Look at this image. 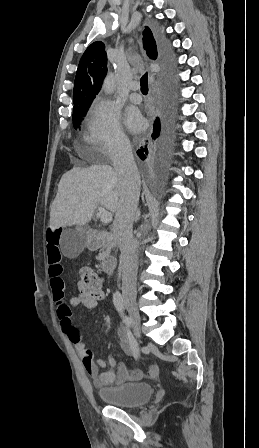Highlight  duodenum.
I'll return each instance as SVG.
<instances>
[{
    "label": "duodenum",
    "instance_id": "1",
    "mask_svg": "<svg viewBox=\"0 0 259 448\" xmlns=\"http://www.w3.org/2000/svg\"><path fill=\"white\" fill-rule=\"evenodd\" d=\"M115 246V239L110 232L93 230L90 233L88 247L90 250H97L100 248H112ZM101 268L107 275H112L116 269V260L109 255L103 256L101 260Z\"/></svg>",
    "mask_w": 259,
    "mask_h": 448
}]
</instances>
